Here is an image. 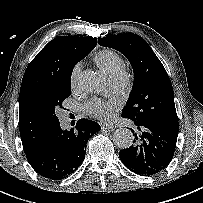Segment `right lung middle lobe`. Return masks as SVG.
Wrapping results in <instances>:
<instances>
[{"label": "right lung middle lobe", "mask_w": 203, "mask_h": 203, "mask_svg": "<svg viewBox=\"0 0 203 203\" xmlns=\"http://www.w3.org/2000/svg\"><path fill=\"white\" fill-rule=\"evenodd\" d=\"M71 94L70 77L56 80L43 89L38 96L45 117L53 124H59L56 112L62 108V102Z\"/></svg>", "instance_id": "dd1d6c3e"}]
</instances>
